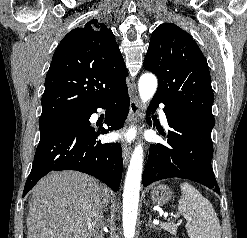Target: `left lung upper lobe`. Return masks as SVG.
<instances>
[{
	"instance_id": "5c2ea615",
	"label": "left lung upper lobe",
	"mask_w": 247,
	"mask_h": 238,
	"mask_svg": "<svg viewBox=\"0 0 247 238\" xmlns=\"http://www.w3.org/2000/svg\"><path fill=\"white\" fill-rule=\"evenodd\" d=\"M159 80L157 97L169 111L191 117L212 129L214 101L207 61L193 38L172 23L151 35L143 64Z\"/></svg>"
}]
</instances>
